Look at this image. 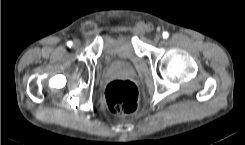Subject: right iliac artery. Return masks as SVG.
Here are the masks:
<instances>
[{
	"instance_id": "right-iliac-artery-1",
	"label": "right iliac artery",
	"mask_w": 245,
	"mask_h": 145,
	"mask_svg": "<svg viewBox=\"0 0 245 145\" xmlns=\"http://www.w3.org/2000/svg\"><path fill=\"white\" fill-rule=\"evenodd\" d=\"M72 45H73L72 41H68V42H67V46H68V47H71Z\"/></svg>"
}]
</instances>
